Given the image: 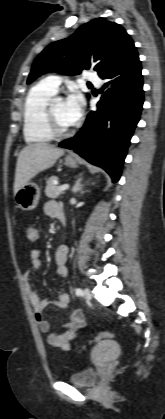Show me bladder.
Listing matches in <instances>:
<instances>
[{"label": "bladder", "mask_w": 165, "mask_h": 419, "mask_svg": "<svg viewBox=\"0 0 165 419\" xmlns=\"http://www.w3.org/2000/svg\"><path fill=\"white\" fill-rule=\"evenodd\" d=\"M99 373L94 368H86L68 376L69 383L75 386L90 387L98 380Z\"/></svg>", "instance_id": "bladder-1"}]
</instances>
